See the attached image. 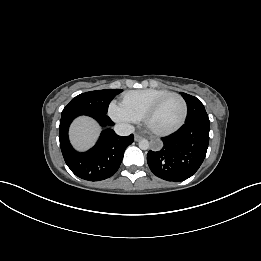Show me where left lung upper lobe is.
Listing matches in <instances>:
<instances>
[{"label": "left lung upper lobe", "instance_id": "left-lung-upper-lobe-1", "mask_svg": "<svg viewBox=\"0 0 261 261\" xmlns=\"http://www.w3.org/2000/svg\"><path fill=\"white\" fill-rule=\"evenodd\" d=\"M188 107L186 122L196 120L198 118L208 117L204 105L199 99L186 93H181Z\"/></svg>", "mask_w": 261, "mask_h": 261}]
</instances>
